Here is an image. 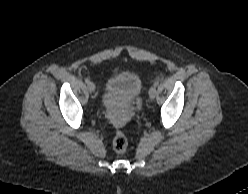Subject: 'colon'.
I'll return each instance as SVG.
<instances>
[{
  "mask_svg": "<svg viewBox=\"0 0 248 194\" xmlns=\"http://www.w3.org/2000/svg\"><path fill=\"white\" fill-rule=\"evenodd\" d=\"M113 149L118 154H124L128 149V140L122 131H117L113 138Z\"/></svg>",
  "mask_w": 248,
  "mask_h": 194,
  "instance_id": "1",
  "label": "colon"
}]
</instances>
